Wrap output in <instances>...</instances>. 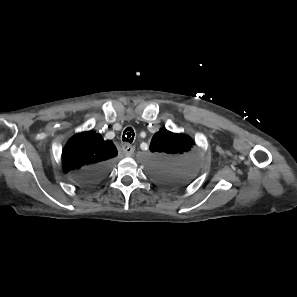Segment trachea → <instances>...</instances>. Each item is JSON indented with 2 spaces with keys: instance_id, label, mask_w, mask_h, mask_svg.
<instances>
[{
  "instance_id": "obj_1",
  "label": "trachea",
  "mask_w": 297,
  "mask_h": 297,
  "mask_svg": "<svg viewBox=\"0 0 297 297\" xmlns=\"http://www.w3.org/2000/svg\"><path fill=\"white\" fill-rule=\"evenodd\" d=\"M122 140L124 142H128V143H132L134 140V131L131 127H128L125 129L123 136H122Z\"/></svg>"
}]
</instances>
